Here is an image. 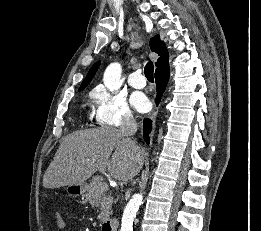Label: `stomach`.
<instances>
[{
	"mask_svg": "<svg viewBox=\"0 0 261 231\" xmlns=\"http://www.w3.org/2000/svg\"><path fill=\"white\" fill-rule=\"evenodd\" d=\"M87 189V185L85 183L83 184H74L69 185L67 187V191L73 195V196H81L84 195Z\"/></svg>",
	"mask_w": 261,
	"mask_h": 231,
	"instance_id": "stomach-1",
	"label": "stomach"
}]
</instances>
